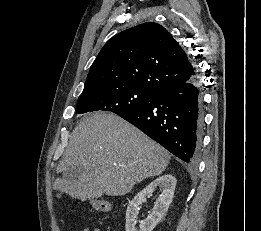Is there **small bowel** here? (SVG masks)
Segmentation results:
<instances>
[{"mask_svg": "<svg viewBox=\"0 0 261 231\" xmlns=\"http://www.w3.org/2000/svg\"><path fill=\"white\" fill-rule=\"evenodd\" d=\"M81 231H101L99 228H89V227H86V228H83Z\"/></svg>", "mask_w": 261, "mask_h": 231, "instance_id": "1", "label": "small bowel"}]
</instances>
